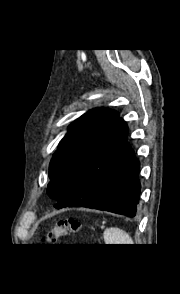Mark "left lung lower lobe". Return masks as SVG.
Here are the masks:
<instances>
[{
	"instance_id": "obj_1",
	"label": "left lung lower lobe",
	"mask_w": 180,
	"mask_h": 294,
	"mask_svg": "<svg viewBox=\"0 0 180 294\" xmlns=\"http://www.w3.org/2000/svg\"><path fill=\"white\" fill-rule=\"evenodd\" d=\"M138 172L127 125L120 119L55 207H86L134 217L140 192Z\"/></svg>"
}]
</instances>
